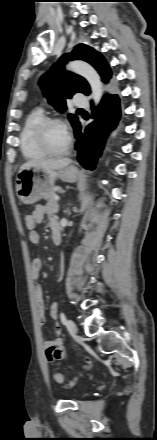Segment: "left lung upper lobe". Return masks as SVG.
I'll use <instances>...</instances> for the list:
<instances>
[{
  "instance_id": "obj_1",
  "label": "left lung upper lobe",
  "mask_w": 157,
  "mask_h": 440,
  "mask_svg": "<svg viewBox=\"0 0 157 440\" xmlns=\"http://www.w3.org/2000/svg\"><path fill=\"white\" fill-rule=\"evenodd\" d=\"M76 59L90 63L98 71L104 82H108L112 75L110 67L99 52L85 44H78L71 53L62 56L49 73L40 79L43 93L49 103L59 112L66 111V98H71L77 92L85 95L90 94L89 85L83 77L64 69L67 61ZM68 118L73 128L79 125L80 122L76 115L69 114Z\"/></svg>"
}]
</instances>
